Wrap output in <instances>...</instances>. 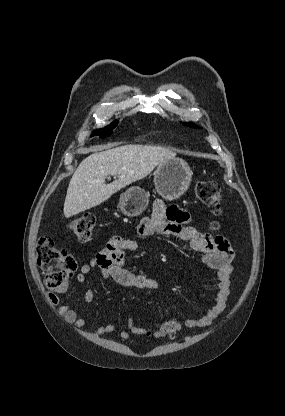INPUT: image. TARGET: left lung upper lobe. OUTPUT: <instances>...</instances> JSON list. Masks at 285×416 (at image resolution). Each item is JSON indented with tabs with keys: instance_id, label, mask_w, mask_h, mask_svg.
I'll list each match as a JSON object with an SVG mask.
<instances>
[{
	"instance_id": "left-lung-upper-lobe-1",
	"label": "left lung upper lobe",
	"mask_w": 285,
	"mask_h": 416,
	"mask_svg": "<svg viewBox=\"0 0 285 416\" xmlns=\"http://www.w3.org/2000/svg\"><path fill=\"white\" fill-rule=\"evenodd\" d=\"M186 125L190 126V127H197L196 125L192 124V123H185Z\"/></svg>"
}]
</instances>
